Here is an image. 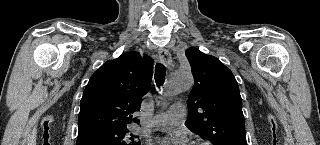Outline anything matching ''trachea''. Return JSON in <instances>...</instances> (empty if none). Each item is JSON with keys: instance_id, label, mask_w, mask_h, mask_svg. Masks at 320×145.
I'll list each match as a JSON object with an SVG mask.
<instances>
[{"instance_id": "obj_1", "label": "trachea", "mask_w": 320, "mask_h": 145, "mask_svg": "<svg viewBox=\"0 0 320 145\" xmlns=\"http://www.w3.org/2000/svg\"><path fill=\"white\" fill-rule=\"evenodd\" d=\"M165 75H166V67L161 63H157L155 67L154 78L158 87L163 85L165 81Z\"/></svg>"}]
</instances>
